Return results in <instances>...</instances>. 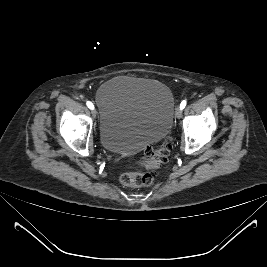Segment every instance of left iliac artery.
I'll list each match as a JSON object with an SVG mask.
<instances>
[{
  "label": "left iliac artery",
  "mask_w": 267,
  "mask_h": 267,
  "mask_svg": "<svg viewBox=\"0 0 267 267\" xmlns=\"http://www.w3.org/2000/svg\"><path fill=\"white\" fill-rule=\"evenodd\" d=\"M186 106V101L183 100L180 104V108L183 109Z\"/></svg>",
  "instance_id": "1"
}]
</instances>
